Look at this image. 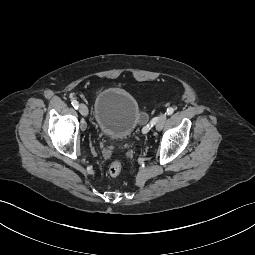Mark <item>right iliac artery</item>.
<instances>
[{"mask_svg": "<svg viewBox=\"0 0 255 255\" xmlns=\"http://www.w3.org/2000/svg\"><path fill=\"white\" fill-rule=\"evenodd\" d=\"M71 104H72V106H73L75 109H78V106H79L78 101L72 100Z\"/></svg>", "mask_w": 255, "mask_h": 255, "instance_id": "82829eb1", "label": "right iliac artery"}]
</instances>
